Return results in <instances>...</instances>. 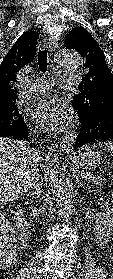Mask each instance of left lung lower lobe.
Returning <instances> with one entry per match:
<instances>
[{"label": "left lung lower lobe", "instance_id": "0a47b994", "mask_svg": "<svg viewBox=\"0 0 113 279\" xmlns=\"http://www.w3.org/2000/svg\"><path fill=\"white\" fill-rule=\"evenodd\" d=\"M81 120L75 148L88 143L113 141V104H99L95 108L73 103Z\"/></svg>", "mask_w": 113, "mask_h": 279}]
</instances>
